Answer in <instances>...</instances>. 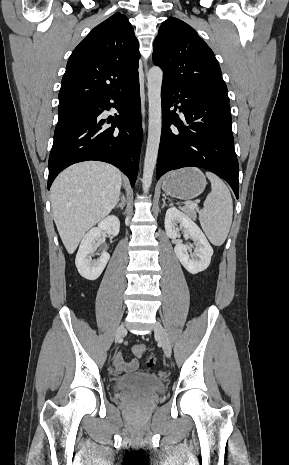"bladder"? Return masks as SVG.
Segmentation results:
<instances>
[{
    "label": "bladder",
    "instance_id": "1",
    "mask_svg": "<svg viewBox=\"0 0 289 465\" xmlns=\"http://www.w3.org/2000/svg\"><path fill=\"white\" fill-rule=\"evenodd\" d=\"M135 389L150 396H160L166 391L165 383L152 375L133 373L121 376L113 384V392L120 395L126 390Z\"/></svg>",
    "mask_w": 289,
    "mask_h": 465
}]
</instances>
